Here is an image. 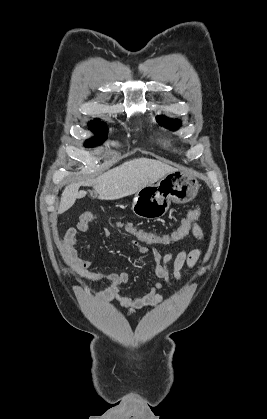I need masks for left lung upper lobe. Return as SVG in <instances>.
Masks as SVG:
<instances>
[{"mask_svg":"<svg viewBox=\"0 0 267 419\" xmlns=\"http://www.w3.org/2000/svg\"><path fill=\"white\" fill-rule=\"evenodd\" d=\"M158 121H160V123H167V127L171 128V129H176L180 126V121L179 120H169L164 116H159L157 117Z\"/></svg>","mask_w":267,"mask_h":419,"instance_id":"1","label":"left lung upper lobe"}]
</instances>
